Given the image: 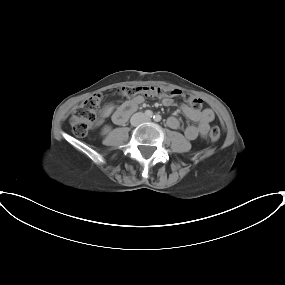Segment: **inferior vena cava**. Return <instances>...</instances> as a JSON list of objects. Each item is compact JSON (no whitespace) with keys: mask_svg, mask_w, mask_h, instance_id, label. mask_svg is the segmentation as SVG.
<instances>
[{"mask_svg":"<svg viewBox=\"0 0 285 285\" xmlns=\"http://www.w3.org/2000/svg\"><path fill=\"white\" fill-rule=\"evenodd\" d=\"M147 117L143 113H136L131 117V124L137 126L142 122L147 121Z\"/></svg>","mask_w":285,"mask_h":285,"instance_id":"obj_1","label":"inferior vena cava"}]
</instances>
